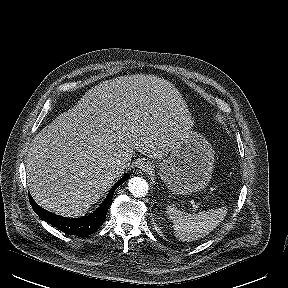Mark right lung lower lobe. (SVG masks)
Listing matches in <instances>:
<instances>
[{"label":"right lung lower lobe","instance_id":"right-lung-lower-lobe-1","mask_svg":"<svg viewBox=\"0 0 288 288\" xmlns=\"http://www.w3.org/2000/svg\"><path fill=\"white\" fill-rule=\"evenodd\" d=\"M129 174H125L109 191L106 199L101 204V206L88 216L81 218H66L55 215L48 212L47 210L41 208L33 198L30 196V204L34 211L47 223L57 227L61 231L67 234L76 235L79 237H84L90 235L97 231V229L104 223L106 218L107 210L112 203V197L116 188H118L124 181L129 178Z\"/></svg>","mask_w":288,"mask_h":288}]
</instances>
